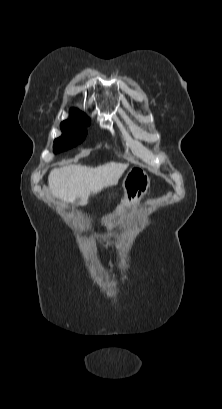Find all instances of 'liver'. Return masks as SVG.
<instances>
[{"label":"liver","instance_id":"1","mask_svg":"<svg viewBox=\"0 0 222 409\" xmlns=\"http://www.w3.org/2000/svg\"><path fill=\"white\" fill-rule=\"evenodd\" d=\"M127 167L125 163L108 162L97 167L71 164L55 168L48 176L49 188L53 196L66 203L78 199L86 205L90 195L117 185Z\"/></svg>","mask_w":222,"mask_h":409}]
</instances>
